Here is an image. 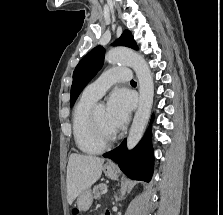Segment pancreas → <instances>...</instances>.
<instances>
[{"label":"pancreas","mask_w":223,"mask_h":215,"mask_svg":"<svg viewBox=\"0 0 223 215\" xmlns=\"http://www.w3.org/2000/svg\"><path fill=\"white\" fill-rule=\"evenodd\" d=\"M104 187H107L106 183H99V185H94L93 190L95 191L93 193L95 199H97V197H101V191H103L102 189Z\"/></svg>","instance_id":"1"}]
</instances>
